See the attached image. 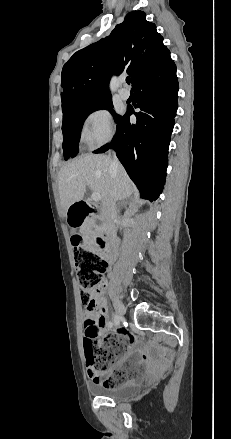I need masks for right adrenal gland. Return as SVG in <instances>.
Returning <instances> with one entry per match:
<instances>
[{"instance_id":"obj_1","label":"right adrenal gland","mask_w":231,"mask_h":439,"mask_svg":"<svg viewBox=\"0 0 231 439\" xmlns=\"http://www.w3.org/2000/svg\"><path fill=\"white\" fill-rule=\"evenodd\" d=\"M125 203H126V201H125V200H122V201H121V204H125Z\"/></svg>"}]
</instances>
